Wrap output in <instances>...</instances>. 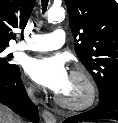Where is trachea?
Listing matches in <instances>:
<instances>
[{
    "instance_id": "3493384b",
    "label": "trachea",
    "mask_w": 118,
    "mask_h": 123,
    "mask_svg": "<svg viewBox=\"0 0 118 123\" xmlns=\"http://www.w3.org/2000/svg\"><path fill=\"white\" fill-rule=\"evenodd\" d=\"M48 6V0H42V12L45 13Z\"/></svg>"
}]
</instances>
